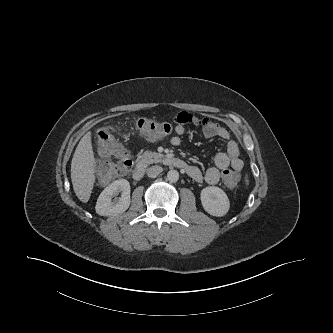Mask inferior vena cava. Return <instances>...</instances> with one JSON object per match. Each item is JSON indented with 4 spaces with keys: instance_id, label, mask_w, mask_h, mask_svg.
<instances>
[{
    "instance_id": "602c4592",
    "label": "inferior vena cava",
    "mask_w": 333,
    "mask_h": 333,
    "mask_svg": "<svg viewBox=\"0 0 333 333\" xmlns=\"http://www.w3.org/2000/svg\"><path fill=\"white\" fill-rule=\"evenodd\" d=\"M163 171L162 167L155 165L151 166L147 169V175L150 178H155L157 177L161 172Z\"/></svg>"
}]
</instances>
